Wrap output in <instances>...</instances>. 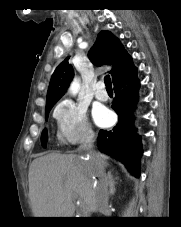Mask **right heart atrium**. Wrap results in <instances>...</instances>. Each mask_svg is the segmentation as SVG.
Returning a JSON list of instances; mask_svg holds the SVG:
<instances>
[{"label":"right heart atrium","mask_w":181,"mask_h":227,"mask_svg":"<svg viewBox=\"0 0 181 227\" xmlns=\"http://www.w3.org/2000/svg\"><path fill=\"white\" fill-rule=\"evenodd\" d=\"M54 117L57 121L58 137L62 143L75 145L93 138L94 133L85 108L73 100H61L55 107Z\"/></svg>","instance_id":"obj_1"}]
</instances>
